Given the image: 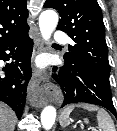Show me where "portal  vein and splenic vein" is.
<instances>
[{
  "instance_id": "obj_1",
  "label": "portal vein and splenic vein",
  "mask_w": 117,
  "mask_h": 131,
  "mask_svg": "<svg viewBox=\"0 0 117 131\" xmlns=\"http://www.w3.org/2000/svg\"><path fill=\"white\" fill-rule=\"evenodd\" d=\"M90 129H92V131H95V129H94V128H90Z\"/></svg>"
}]
</instances>
